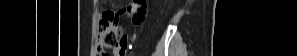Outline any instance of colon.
Segmentation results:
<instances>
[{"mask_svg":"<svg viewBox=\"0 0 297 56\" xmlns=\"http://www.w3.org/2000/svg\"><path fill=\"white\" fill-rule=\"evenodd\" d=\"M132 19L135 24L141 23L147 12L146 0H133L130 5ZM119 13L106 11L98 24V45L101 48H113L119 46L121 30L118 25Z\"/></svg>","mask_w":297,"mask_h":56,"instance_id":"1","label":"colon"}]
</instances>
